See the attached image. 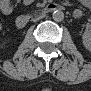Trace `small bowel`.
Listing matches in <instances>:
<instances>
[{
  "label": "small bowel",
  "mask_w": 91,
  "mask_h": 91,
  "mask_svg": "<svg viewBox=\"0 0 91 91\" xmlns=\"http://www.w3.org/2000/svg\"><path fill=\"white\" fill-rule=\"evenodd\" d=\"M1 8H2L4 13H9L10 12L9 3L7 1L2 2Z\"/></svg>",
  "instance_id": "1"
}]
</instances>
